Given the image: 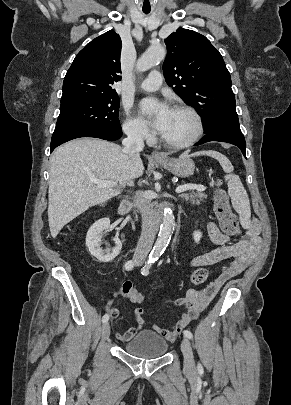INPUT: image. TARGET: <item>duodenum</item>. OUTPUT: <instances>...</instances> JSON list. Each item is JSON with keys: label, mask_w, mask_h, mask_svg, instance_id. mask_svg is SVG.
Listing matches in <instances>:
<instances>
[{"label": "duodenum", "mask_w": 291, "mask_h": 405, "mask_svg": "<svg viewBox=\"0 0 291 405\" xmlns=\"http://www.w3.org/2000/svg\"><path fill=\"white\" fill-rule=\"evenodd\" d=\"M130 209V203L128 201H122L119 207V214L125 215Z\"/></svg>", "instance_id": "410a0bca"}]
</instances>
